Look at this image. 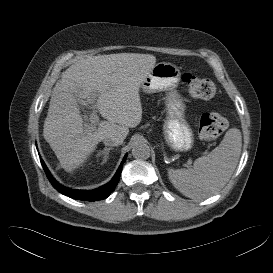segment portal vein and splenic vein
Here are the masks:
<instances>
[{"label": "portal vein and splenic vein", "instance_id": "portal-vein-and-splenic-vein-1", "mask_svg": "<svg viewBox=\"0 0 273 273\" xmlns=\"http://www.w3.org/2000/svg\"><path fill=\"white\" fill-rule=\"evenodd\" d=\"M89 120L91 121V124L87 125L86 128L89 131H94L96 129V125L99 123V117L95 109H93Z\"/></svg>", "mask_w": 273, "mask_h": 273}]
</instances>
